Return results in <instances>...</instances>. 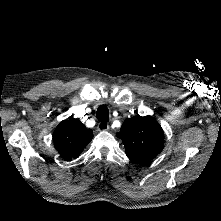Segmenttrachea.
Returning <instances> with one entry per match:
<instances>
[{"mask_svg":"<svg viewBox=\"0 0 221 221\" xmlns=\"http://www.w3.org/2000/svg\"><path fill=\"white\" fill-rule=\"evenodd\" d=\"M96 118L102 123H107L109 121V111L105 105L98 107L96 111Z\"/></svg>","mask_w":221,"mask_h":221,"instance_id":"obj_1","label":"trachea"}]
</instances>
